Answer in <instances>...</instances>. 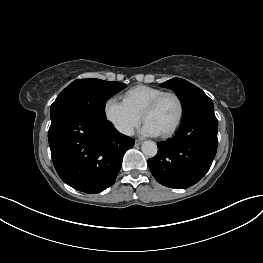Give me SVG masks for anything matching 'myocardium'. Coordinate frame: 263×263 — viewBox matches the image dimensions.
<instances>
[{
	"mask_svg": "<svg viewBox=\"0 0 263 263\" xmlns=\"http://www.w3.org/2000/svg\"><path fill=\"white\" fill-rule=\"evenodd\" d=\"M168 96H172L174 97L177 102H178V106H179V113H178V117L175 121V123L173 124V126L166 132L160 134L161 137L163 138H169L172 135H174L176 133V131L178 130V128L180 127L183 118H184V113H185V106H184V102L183 99L181 98V96L173 91H168V92H163L160 95H158L157 97H155L151 102H149L145 108L142 111L141 117L142 119L145 121V117L146 115L153 111L155 108H157V106L162 102V100Z\"/></svg>",
	"mask_w": 263,
	"mask_h": 263,
	"instance_id": "f54148a6",
	"label": "myocardium"
}]
</instances>
